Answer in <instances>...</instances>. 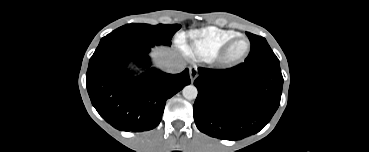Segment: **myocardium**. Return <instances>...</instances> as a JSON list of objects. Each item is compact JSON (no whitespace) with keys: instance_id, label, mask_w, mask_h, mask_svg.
<instances>
[{"instance_id":"myocardium-1","label":"myocardium","mask_w":369,"mask_h":152,"mask_svg":"<svg viewBox=\"0 0 369 152\" xmlns=\"http://www.w3.org/2000/svg\"><path fill=\"white\" fill-rule=\"evenodd\" d=\"M240 40H244L246 42L247 44L246 50L241 55L233 56L231 54V49ZM250 51H251V42L249 38L244 35H237L224 44V46L217 54V59L222 64L232 65L243 61L249 55Z\"/></svg>"}]
</instances>
